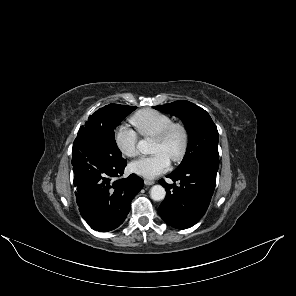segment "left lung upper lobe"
Wrapping results in <instances>:
<instances>
[{"label": "left lung upper lobe", "mask_w": 296, "mask_h": 296, "mask_svg": "<svg viewBox=\"0 0 296 296\" xmlns=\"http://www.w3.org/2000/svg\"><path fill=\"white\" fill-rule=\"evenodd\" d=\"M153 108L180 118L188 131L189 142L186 155L174 171L183 170L202 160L219 159V134L207 111L184 100Z\"/></svg>", "instance_id": "obj_1"}]
</instances>
